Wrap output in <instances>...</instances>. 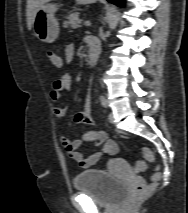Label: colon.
I'll list each match as a JSON object with an SVG mask.
<instances>
[{"label":"colon","mask_w":188,"mask_h":213,"mask_svg":"<svg viewBox=\"0 0 188 213\" xmlns=\"http://www.w3.org/2000/svg\"><path fill=\"white\" fill-rule=\"evenodd\" d=\"M47 56L49 59L53 60L55 63H58V58H57V54H55L52 51H48L47 52ZM143 154L145 155V157L149 160V161H153L154 160V154L152 153V151L149 148H143ZM145 163L143 161H138L135 164L134 167V172L135 173H141L145 170ZM159 176V171H155L153 174V179H157ZM152 187L151 186H146L144 184H140L137 186L136 190L133 193L132 199H131V203L133 204H138L140 203L143 199H145L149 193L151 192Z\"/></svg>","instance_id":"5ec220e1"}]
</instances>
